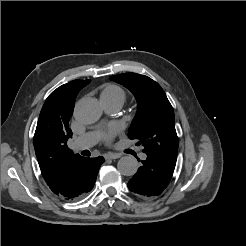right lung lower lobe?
Here are the masks:
<instances>
[{
	"instance_id": "98d812e1",
	"label": "right lung lower lobe",
	"mask_w": 246,
	"mask_h": 246,
	"mask_svg": "<svg viewBox=\"0 0 246 246\" xmlns=\"http://www.w3.org/2000/svg\"><path fill=\"white\" fill-rule=\"evenodd\" d=\"M103 157H79L61 174L58 181L50 189L60 198L77 200L91 191Z\"/></svg>"
}]
</instances>
